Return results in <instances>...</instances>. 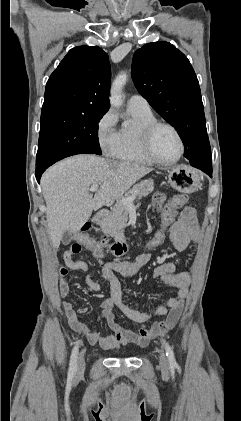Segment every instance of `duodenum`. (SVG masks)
Masks as SVG:
<instances>
[{"mask_svg": "<svg viewBox=\"0 0 241 421\" xmlns=\"http://www.w3.org/2000/svg\"><path fill=\"white\" fill-rule=\"evenodd\" d=\"M109 216L108 210H100L97 212L94 216V222L96 224H100L105 218ZM102 245L103 247H114L115 249V255H122L126 252L127 246L125 243L121 241H110L107 237H102Z\"/></svg>", "mask_w": 241, "mask_h": 421, "instance_id": "410a0bca", "label": "duodenum"}]
</instances>
